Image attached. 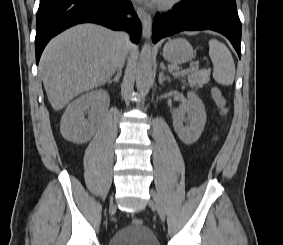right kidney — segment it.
<instances>
[{"instance_id":"ca27d5eb","label":"right kidney","mask_w":283,"mask_h":245,"mask_svg":"<svg viewBox=\"0 0 283 245\" xmlns=\"http://www.w3.org/2000/svg\"><path fill=\"white\" fill-rule=\"evenodd\" d=\"M109 95L107 91L99 89L81 95L70 103L64 112L60 132L62 136L73 143H85L95 132V123L100 115L108 109ZM88 111L90 117L84 118Z\"/></svg>"}]
</instances>
